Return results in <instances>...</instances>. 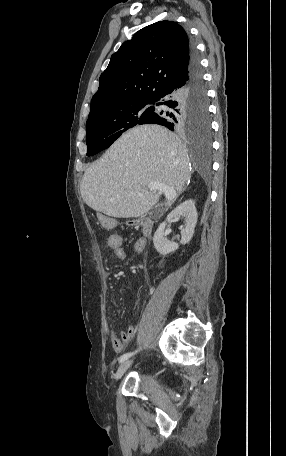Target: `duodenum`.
<instances>
[{
  "label": "duodenum",
  "instance_id": "1",
  "mask_svg": "<svg viewBox=\"0 0 286 456\" xmlns=\"http://www.w3.org/2000/svg\"><path fill=\"white\" fill-rule=\"evenodd\" d=\"M132 224H135V222H131ZM138 225L140 227L141 233L143 238H148L151 234V223L148 220H139Z\"/></svg>",
  "mask_w": 286,
  "mask_h": 456
}]
</instances>
